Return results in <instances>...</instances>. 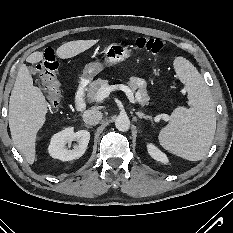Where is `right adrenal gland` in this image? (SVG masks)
<instances>
[{
	"mask_svg": "<svg viewBox=\"0 0 233 233\" xmlns=\"http://www.w3.org/2000/svg\"><path fill=\"white\" fill-rule=\"evenodd\" d=\"M85 127L88 128V129L92 128L91 126H89L87 124H85Z\"/></svg>",
	"mask_w": 233,
	"mask_h": 233,
	"instance_id": "obj_1",
	"label": "right adrenal gland"
}]
</instances>
